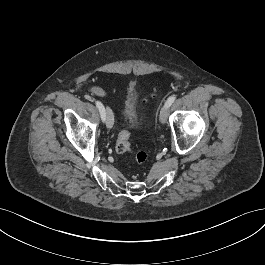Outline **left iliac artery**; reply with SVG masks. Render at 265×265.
Listing matches in <instances>:
<instances>
[{"instance_id":"1","label":"left iliac artery","mask_w":265,"mask_h":265,"mask_svg":"<svg viewBox=\"0 0 265 265\" xmlns=\"http://www.w3.org/2000/svg\"><path fill=\"white\" fill-rule=\"evenodd\" d=\"M175 99H176V96H175V95L170 96V97L167 99V101H166L165 104L169 107V106L175 101Z\"/></svg>"}]
</instances>
